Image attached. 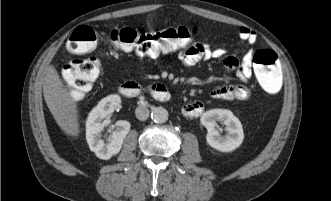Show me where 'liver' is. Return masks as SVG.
Returning a JSON list of instances; mask_svg holds the SVG:
<instances>
[{"mask_svg":"<svg viewBox=\"0 0 331 201\" xmlns=\"http://www.w3.org/2000/svg\"><path fill=\"white\" fill-rule=\"evenodd\" d=\"M44 75L43 95L51 114L67 135L77 137L80 133L77 103L53 65L46 67Z\"/></svg>","mask_w":331,"mask_h":201,"instance_id":"1","label":"liver"}]
</instances>
